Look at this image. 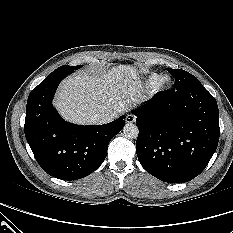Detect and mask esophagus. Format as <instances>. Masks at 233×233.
I'll return each mask as SVG.
<instances>
[{
  "mask_svg": "<svg viewBox=\"0 0 233 233\" xmlns=\"http://www.w3.org/2000/svg\"><path fill=\"white\" fill-rule=\"evenodd\" d=\"M136 120V117L132 114H128L126 117H125V122L126 123H134Z\"/></svg>",
  "mask_w": 233,
  "mask_h": 233,
  "instance_id": "esophagus-1",
  "label": "esophagus"
}]
</instances>
